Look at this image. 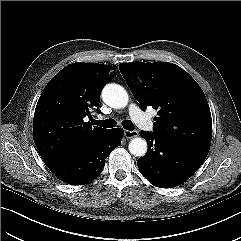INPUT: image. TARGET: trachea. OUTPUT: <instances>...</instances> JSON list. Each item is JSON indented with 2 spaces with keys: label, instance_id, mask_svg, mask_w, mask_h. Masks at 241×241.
Returning <instances> with one entry per match:
<instances>
[{
  "label": "trachea",
  "instance_id": "3493384b",
  "mask_svg": "<svg viewBox=\"0 0 241 241\" xmlns=\"http://www.w3.org/2000/svg\"><path fill=\"white\" fill-rule=\"evenodd\" d=\"M92 123L104 128H112L116 126V121L114 119L92 120ZM122 125L126 130L132 131L134 129V124L130 120H124Z\"/></svg>",
  "mask_w": 241,
  "mask_h": 241
}]
</instances>
